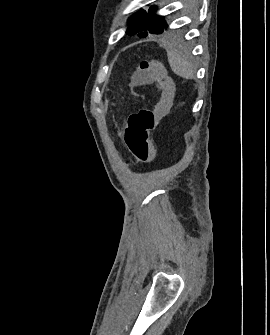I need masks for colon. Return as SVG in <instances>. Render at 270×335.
Wrapping results in <instances>:
<instances>
[{"instance_id":"colon-1","label":"colon","mask_w":270,"mask_h":335,"mask_svg":"<svg viewBox=\"0 0 270 335\" xmlns=\"http://www.w3.org/2000/svg\"><path fill=\"white\" fill-rule=\"evenodd\" d=\"M164 62L161 57H150V61L143 60L133 72L132 85L134 87L150 86L161 89L160 97L153 107H143L129 114L127 126L123 133V140L130 155L140 163L152 161L161 163L159 148H154V141H150V132L157 126V119L167 116V109H174L175 92H173L174 72H163ZM156 109V112H155Z\"/></svg>"}]
</instances>
